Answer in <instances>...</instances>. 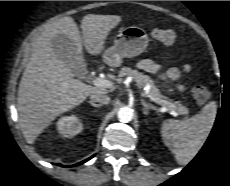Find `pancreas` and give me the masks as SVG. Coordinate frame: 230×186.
<instances>
[{
  "label": "pancreas",
  "instance_id": "obj_1",
  "mask_svg": "<svg viewBox=\"0 0 230 186\" xmlns=\"http://www.w3.org/2000/svg\"><path fill=\"white\" fill-rule=\"evenodd\" d=\"M123 76H131L139 88L149 86V93L151 95L163 101H166L169 104H173L175 106V111L179 115H188L189 110L178 102L171 103V101H169L167 97L163 96L160 93L159 89L155 86L153 80L148 75H144L143 73L137 70H133L129 67H123L120 70L119 77Z\"/></svg>",
  "mask_w": 230,
  "mask_h": 186
}]
</instances>
